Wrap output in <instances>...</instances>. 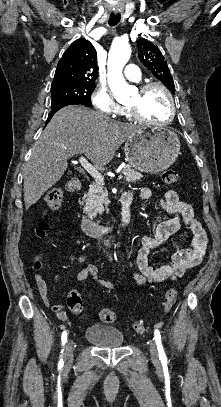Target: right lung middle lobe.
<instances>
[{
    "instance_id": "dd1d6c3e",
    "label": "right lung middle lobe",
    "mask_w": 221,
    "mask_h": 407,
    "mask_svg": "<svg viewBox=\"0 0 221 407\" xmlns=\"http://www.w3.org/2000/svg\"><path fill=\"white\" fill-rule=\"evenodd\" d=\"M95 83H73L51 89L52 107L63 103L91 105L90 97Z\"/></svg>"
}]
</instances>
